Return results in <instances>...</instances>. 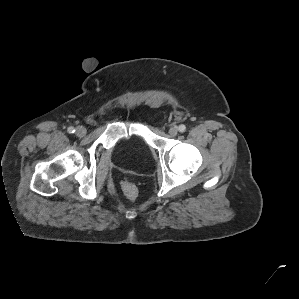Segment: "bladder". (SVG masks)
<instances>
[{
  "label": "bladder",
  "mask_w": 299,
  "mask_h": 299,
  "mask_svg": "<svg viewBox=\"0 0 299 299\" xmlns=\"http://www.w3.org/2000/svg\"><path fill=\"white\" fill-rule=\"evenodd\" d=\"M121 157V163L127 167H136L149 155V148L142 138L134 136L119 141L115 147Z\"/></svg>",
  "instance_id": "obj_1"
}]
</instances>
